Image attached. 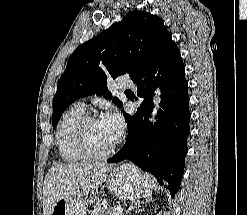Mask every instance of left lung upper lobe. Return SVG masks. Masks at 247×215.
Here are the masks:
<instances>
[{
    "instance_id": "5c2ea615",
    "label": "left lung upper lobe",
    "mask_w": 247,
    "mask_h": 215,
    "mask_svg": "<svg viewBox=\"0 0 247 215\" xmlns=\"http://www.w3.org/2000/svg\"><path fill=\"white\" fill-rule=\"evenodd\" d=\"M172 38L159 17L131 11L97 37L79 46L70 56L53 101L52 125L80 97L97 94L112 99L109 77L128 73L131 79L145 71ZM113 103L122 107L114 97Z\"/></svg>"
}]
</instances>
